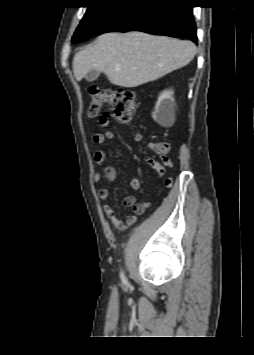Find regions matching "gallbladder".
Returning <instances> with one entry per match:
<instances>
[{"label":"gallbladder","instance_id":"1","mask_svg":"<svg viewBox=\"0 0 254 355\" xmlns=\"http://www.w3.org/2000/svg\"><path fill=\"white\" fill-rule=\"evenodd\" d=\"M100 75V72L99 71H96V70H91L90 72H88L85 76V79L88 81V82H93L95 81L98 76Z\"/></svg>","mask_w":254,"mask_h":355}]
</instances>
